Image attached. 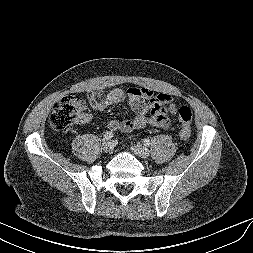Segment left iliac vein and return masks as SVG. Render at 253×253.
<instances>
[{"mask_svg":"<svg viewBox=\"0 0 253 253\" xmlns=\"http://www.w3.org/2000/svg\"><path fill=\"white\" fill-rule=\"evenodd\" d=\"M132 151L137 154L141 158H148L149 157V151L146 147L142 146L141 144H136L132 147Z\"/></svg>","mask_w":253,"mask_h":253,"instance_id":"obj_1","label":"left iliac vein"}]
</instances>
